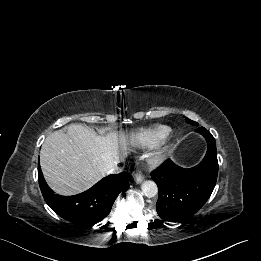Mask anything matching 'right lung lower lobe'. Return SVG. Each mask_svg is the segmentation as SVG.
Wrapping results in <instances>:
<instances>
[{
  "instance_id": "98d812e1",
  "label": "right lung lower lobe",
  "mask_w": 261,
  "mask_h": 261,
  "mask_svg": "<svg viewBox=\"0 0 261 261\" xmlns=\"http://www.w3.org/2000/svg\"><path fill=\"white\" fill-rule=\"evenodd\" d=\"M128 180L127 172L109 175L81 194L60 196L49 188L38 165L39 186L46 203L59 216L83 226H92L110 213L115 199L126 187Z\"/></svg>"
}]
</instances>
